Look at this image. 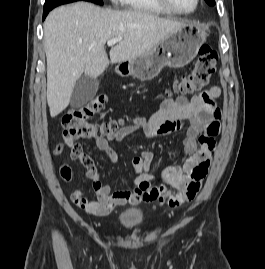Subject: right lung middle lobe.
Instances as JSON below:
<instances>
[{
	"mask_svg": "<svg viewBox=\"0 0 265 269\" xmlns=\"http://www.w3.org/2000/svg\"><path fill=\"white\" fill-rule=\"evenodd\" d=\"M84 1L92 2V3H95V4H99V5H103L102 0H84Z\"/></svg>",
	"mask_w": 265,
	"mask_h": 269,
	"instance_id": "1",
	"label": "right lung middle lobe"
}]
</instances>
